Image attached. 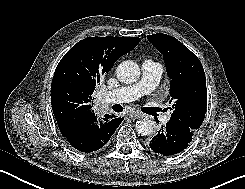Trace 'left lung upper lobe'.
<instances>
[{
	"label": "left lung upper lobe",
	"instance_id": "left-lung-upper-lobe-1",
	"mask_svg": "<svg viewBox=\"0 0 245 189\" xmlns=\"http://www.w3.org/2000/svg\"><path fill=\"white\" fill-rule=\"evenodd\" d=\"M162 53L170 82L173 113L169 124L180 132L194 133L205 118L206 77L201 62L176 38L166 34L147 36Z\"/></svg>",
	"mask_w": 245,
	"mask_h": 189
}]
</instances>
